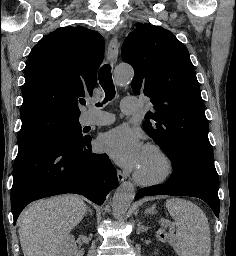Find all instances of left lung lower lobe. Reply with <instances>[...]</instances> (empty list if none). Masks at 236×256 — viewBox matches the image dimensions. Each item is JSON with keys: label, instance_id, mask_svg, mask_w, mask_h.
<instances>
[{"label": "left lung lower lobe", "instance_id": "1", "mask_svg": "<svg viewBox=\"0 0 236 256\" xmlns=\"http://www.w3.org/2000/svg\"><path fill=\"white\" fill-rule=\"evenodd\" d=\"M173 174L163 185L141 189L135 199L153 195H183L205 201L215 215L219 216V176L215 169L213 154L186 150L176 158H170Z\"/></svg>", "mask_w": 236, "mask_h": 256}]
</instances>
